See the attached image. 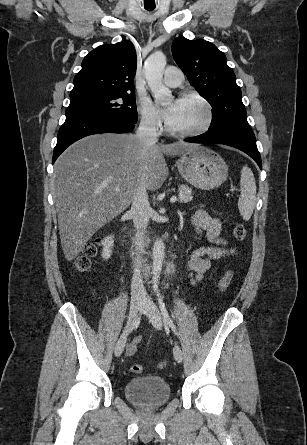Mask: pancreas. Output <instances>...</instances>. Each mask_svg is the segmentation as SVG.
<instances>
[{
	"label": "pancreas",
	"instance_id": "obj_1",
	"mask_svg": "<svg viewBox=\"0 0 307 445\" xmlns=\"http://www.w3.org/2000/svg\"><path fill=\"white\" fill-rule=\"evenodd\" d=\"M182 196L179 198V202H189L192 200V188L191 186H186V184H179L178 186Z\"/></svg>",
	"mask_w": 307,
	"mask_h": 445
}]
</instances>
